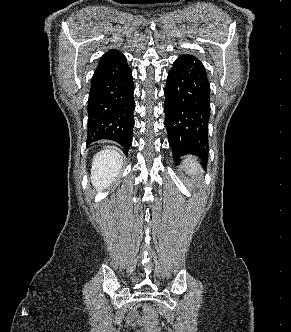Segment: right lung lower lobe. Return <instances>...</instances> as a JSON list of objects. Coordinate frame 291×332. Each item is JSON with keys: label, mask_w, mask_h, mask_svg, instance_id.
Listing matches in <instances>:
<instances>
[{"label": "right lung lower lobe", "mask_w": 291, "mask_h": 332, "mask_svg": "<svg viewBox=\"0 0 291 332\" xmlns=\"http://www.w3.org/2000/svg\"><path fill=\"white\" fill-rule=\"evenodd\" d=\"M134 84L125 57L100 62L91 79L87 142H118L128 151L134 127Z\"/></svg>", "instance_id": "right-lung-lower-lobe-1"}]
</instances>
